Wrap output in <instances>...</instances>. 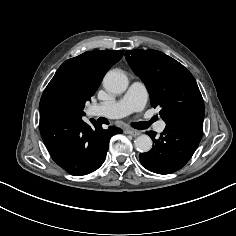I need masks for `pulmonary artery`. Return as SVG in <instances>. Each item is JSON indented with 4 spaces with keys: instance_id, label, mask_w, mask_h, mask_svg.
Returning <instances> with one entry per match:
<instances>
[{
    "instance_id": "1",
    "label": "pulmonary artery",
    "mask_w": 236,
    "mask_h": 236,
    "mask_svg": "<svg viewBox=\"0 0 236 236\" xmlns=\"http://www.w3.org/2000/svg\"><path fill=\"white\" fill-rule=\"evenodd\" d=\"M147 90L145 85L139 81H133L126 93L118 100L105 103H96L89 107L88 113L91 116H96L103 108L113 110L118 117L127 116L133 112L141 111L147 101ZM165 122L160 121L157 124L156 130L162 132L165 129Z\"/></svg>"
}]
</instances>
